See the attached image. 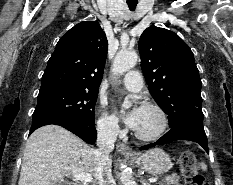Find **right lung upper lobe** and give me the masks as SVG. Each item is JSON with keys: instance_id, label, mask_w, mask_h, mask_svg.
<instances>
[{"instance_id": "cb5924a9", "label": "right lung upper lobe", "mask_w": 233, "mask_h": 185, "mask_svg": "<svg viewBox=\"0 0 233 185\" xmlns=\"http://www.w3.org/2000/svg\"><path fill=\"white\" fill-rule=\"evenodd\" d=\"M108 42L96 21H83L57 43L42 76L40 90L67 88L99 91Z\"/></svg>"}]
</instances>
